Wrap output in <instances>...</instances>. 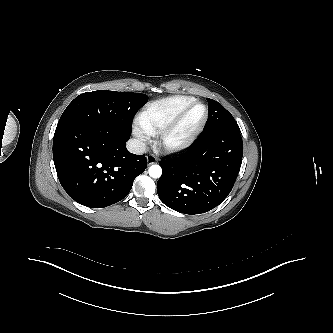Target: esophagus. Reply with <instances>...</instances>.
Instances as JSON below:
<instances>
[{"label": "esophagus", "instance_id": "34e87169", "mask_svg": "<svg viewBox=\"0 0 333 333\" xmlns=\"http://www.w3.org/2000/svg\"><path fill=\"white\" fill-rule=\"evenodd\" d=\"M156 162H157V158L153 154H149L147 156V164L148 165L155 164Z\"/></svg>", "mask_w": 333, "mask_h": 333}]
</instances>
